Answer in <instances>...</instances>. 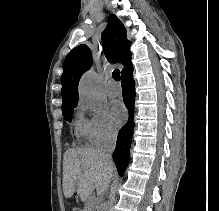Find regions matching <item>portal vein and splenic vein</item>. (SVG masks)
<instances>
[{
    "label": "portal vein and splenic vein",
    "mask_w": 219,
    "mask_h": 211,
    "mask_svg": "<svg viewBox=\"0 0 219 211\" xmlns=\"http://www.w3.org/2000/svg\"><path fill=\"white\" fill-rule=\"evenodd\" d=\"M93 203H95V201H93ZM93 203H90V205H93Z\"/></svg>",
    "instance_id": "obj_1"
}]
</instances>
